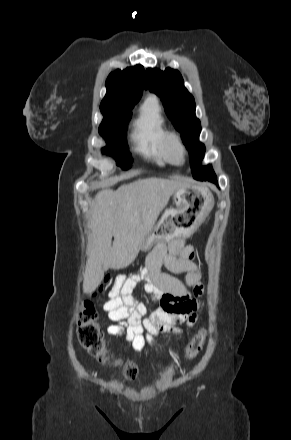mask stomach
I'll list each match as a JSON object with an SVG mask.
<instances>
[{
    "label": "stomach",
    "mask_w": 291,
    "mask_h": 440,
    "mask_svg": "<svg viewBox=\"0 0 291 440\" xmlns=\"http://www.w3.org/2000/svg\"><path fill=\"white\" fill-rule=\"evenodd\" d=\"M176 208L165 211L161 220L148 235L142 249H149L160 240L188 237L194 233L214 206L211 191L204 186L183 185L173 193Z\"/></svg>",
    "instance_id": "0dacf381"
}]
</instances>
